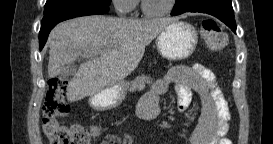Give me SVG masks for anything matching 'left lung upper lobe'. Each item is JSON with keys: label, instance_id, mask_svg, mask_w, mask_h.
<instances>
[{"label": "left lung upper lobe", "instance_id": "left-lung-upper-lobe-1", "mask_svg": "<svg viewBox=\"0 0 273 144\" xmlns=\"http://www.w3.org/2000/svg\"><path fill=\"white\" fill-rule=\"evenodd\" d=\"M186 0H177L175 6L183 4Z\"/></svg>", "mask_w": 273, "mask_h": 144}]
</instances>
